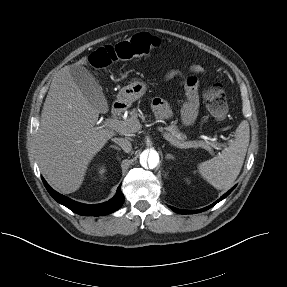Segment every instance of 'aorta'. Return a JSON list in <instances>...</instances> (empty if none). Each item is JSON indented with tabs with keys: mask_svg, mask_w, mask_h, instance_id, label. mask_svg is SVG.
Returning a JSON list of instances; mask_svg holds the SVG:
<instances>
[{
	"mask_svg": "<svg viewBox=\"0 0 287 287\" xmlns=\"http://www.w3.org/2000/svg\"><path fill=\"white\" fill-rule=\"evenodd\" d=\"M140 163L143 167L154 169L159 164V154L155 150H145L140 155Z\"/></svg>",
	"mask_w": 287,
	"mask_h": 287,
	"instance_id": "aorta-1",
	"label": "aorta"
}]
</instances>
